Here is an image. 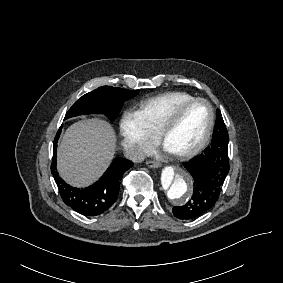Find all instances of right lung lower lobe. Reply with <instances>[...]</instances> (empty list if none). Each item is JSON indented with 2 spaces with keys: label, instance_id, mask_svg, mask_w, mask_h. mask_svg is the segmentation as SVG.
<instances>
[{
  "label": "right lung lower lobe",
  "instance_id": "obj_1",
  "mask_svg": "<svg viewBox=\"0 0 283 283\" xmlns=\"http://www.w3.org/2000/svg\"><path fill=\"white\" fill-rule=\"evenodd\" d=\"M62 126L54 139L52 174L64 203L73 210L85 215L96 216L105 212L116 201L123 174L133 166L127 159L116 158L104 175L87 188H74L67 185L56 171V148Z\"/></svg>",
  "mask_w": 283,
  "mask_h": 283
}]
</instances>
